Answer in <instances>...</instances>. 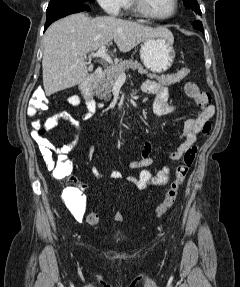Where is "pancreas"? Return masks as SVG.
<instances>
[{
    "label": "pancreas",
    "mask_w": 240,
    "mask_h": 287,
    "mask_svg": "<svg viewBox=\"0 0 240 287\" xmlns=\"http://www.w3.org/2000/svg\"><path fill=\"white\" fill-rule=\"evenodd\" d=\"M130 69L138 71L140 74H147L148 77H154L157 81L167 86L180 82L189 73V70L182 69L176 74L158 76L156 74L148 73L138 61L126 59L119 64L111 65L104 70V76L99 80L98 85L95 88V94L100 99L109 101L111 99V90L115 81L122 72L129 71Z\"/></svg>",
    "instance_id": "pancreas-1"
}]
</instances>
